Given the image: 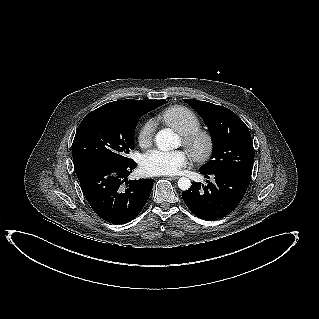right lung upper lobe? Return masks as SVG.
I'll use <instances>...</instances> for the list:
<instances>
[{"instance_id": "1", "label": "right lung upper lobe", "mask_w": 319, "mask_h": 319, "mask_svg": "<svg viewBox=\"0 0 319 319\" xmlns=\"http://www.w3.org/2000/svg\"><path fill=\"white\" fill-rule=\"evenodd\" d=\"M159 101L126 99V100H119V101L110 102V103H107L101 107L129 106V105H136V104H151V103H155V102H159Z\"/></svg>"}]
</instances>
